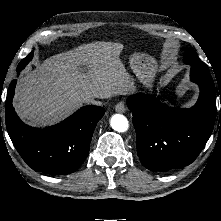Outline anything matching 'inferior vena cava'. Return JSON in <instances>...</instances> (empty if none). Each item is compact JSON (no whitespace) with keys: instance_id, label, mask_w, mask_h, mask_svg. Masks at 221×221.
<instances>
[{"instance_id":"602c4592","label":"inferior vena cava","mask_w":221,"mask_h":221,"mask_svg":"<svg viewBox=\"0 0 221 221\" xmlns=\"http://www.w3.org/2000/svg\"><path fill=\"white\" fill-rule=\"evenodd\" d=\"M84 102H85V103L94 104V105H101V104H102L100 101H96V100L94 99V97H91V96L86 97V98L84 99Z\"/></svg>"}]
</instances>
